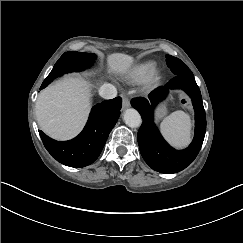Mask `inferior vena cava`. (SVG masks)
Instances as JSON below:
<instances>
[{"label": "inferior vena cava", "instance_id": "inferior-vena-cava-1", "mask_svg": "<svg viewBox=\"0 0 243 243\" xmlns=\"http://www.w3.org/2000/svg\"><path fill=\"white\" fill-rule=\"evenodd\" d=\"M99 94L104 99H114L117 96V90L112 84H103L99 89Z\"/></svg>", "mask_w": 243, "mask_h": 243}]
</instances>
